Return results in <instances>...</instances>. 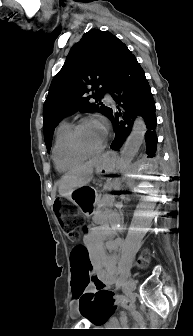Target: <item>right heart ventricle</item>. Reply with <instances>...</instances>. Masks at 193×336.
<instances>
[{
  "label": "right heart ventricle",
  "instance_id": "obj_1",
  "mask_svg": "<svg viewBox=\"0 0 193 336\" xmlns=\"http://www.w3.org/2000/svg\"><path fill=\"white\" fill-rule=\"evenodd\" d=\"M72 125L62 123L55 132L52 157L58 171L68 172L78 167L86 157L75 153L69 144V134Z\"/></svg>",
  "mask_w": 193,
  "mask_h": 336
}]
</instances>
